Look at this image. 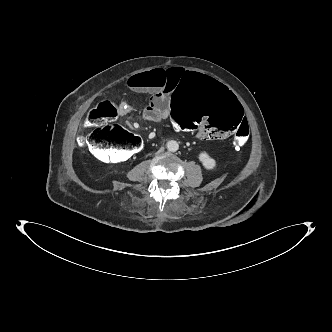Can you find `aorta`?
<instances>
[{
  "label": "aorta",
  "instance_id": "aorta-1",
  "mask_svg": "<svg viewBox=\"0 0 332 332\" xmlns=\"http://www.w3.org/2000/svg\"><path fill=\"white\" fill-rule=\"evenodd\" d=\"M167 149L171 152H176L179 149L178 142L175 140H170L167 142Z\"/></svg>",
  "mask_w": 332,
  "mask_h": 332
}]
</instances>
